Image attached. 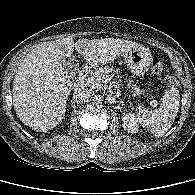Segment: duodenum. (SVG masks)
I'll list each match as a JSON object with an SVG mask.
<instances>
[{"mask_svg": "<svg viewBox=\"0 0 195 195\" xmlns=\"http://www.w3.org/2000/svg\"><path fill=\"white\" fill-rule=\"evenodd\" d=\"M91 65H85L79 73V77L76 82V87L79 88L82 84L83 77L91 69Z\"/></svg>", "mask_w": 195, "mask_h": 195, "instance_id": "410a0bca", "label": "duodenum"}]
</instances>
